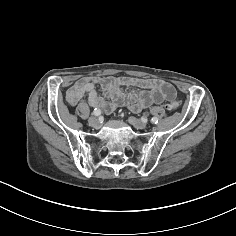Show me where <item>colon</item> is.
I'll return each instance as SVG.
<instances>
[{
	"label": "colon",
	"instance_id": "1",
	"mask_svg": "<svg viewBox=\"0 0 236 236\" xmlns=\"http://www.w3.org/2000/svg\"><path fill=\"white\" fill-rule=\"evenodd\" d=\"M179 105H180V102H179V101H173L172 103H170V104L167 106V108H168L169 110H171V111H174V110L178 109Z\"/></svg>",
	"mask_w": 236,
	"mask_h": 236
}]
</instances>
